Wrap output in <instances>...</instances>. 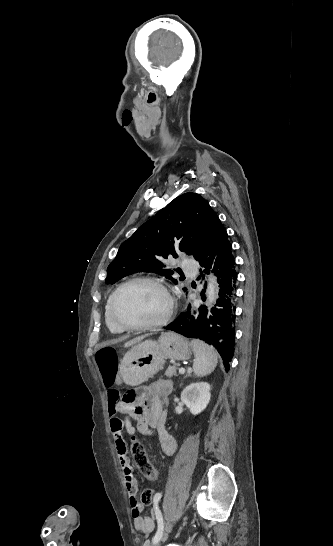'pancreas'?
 <instances>
[{
	"mask_svg": "<svg viewBox=\"0 0 333 546\" xmlns=\"http://www.w3.org/2000/svg\"><path fill=\"white\" fill-rule=\"evenodd\" d=\"M177 369H178V365L177 364H174L172 366H169L165 372V375L169 378L173 377V376H177Z\"/></svg>",
	"mask_w": 333,
	"mask_h": 546,
	"instance_id": "obj_1",
	"label": "pancreas"
}]
</instances>
